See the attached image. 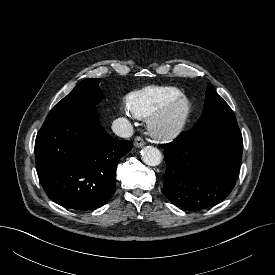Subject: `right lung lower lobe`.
I'll return each instance as SVG.
<instances>
[{
    "label": "right lung lower lobe",
    "instance_id": "98d812e1",
    "mask_svg": "<svg viewBox=\"0 0 275 275\" xmlns=\"http://www.w3.org/2000/svg\"><path fill=\"white\" fill-rule=\"evenodd\" d=\"M132 148L100 125L96 110L43 124L35 141L36 168L48 197L73 210L103 206L115 192L118 160Z\"/></svg>",
    "mask_w": 275,
    "mask_h": 275
}]
</instances>
